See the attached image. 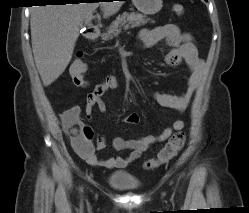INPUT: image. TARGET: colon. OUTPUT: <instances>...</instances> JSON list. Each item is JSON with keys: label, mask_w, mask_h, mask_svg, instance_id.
Here are the masks:
<instances>
[{"label": "colon", "mask_w": 249, "mask_h": 213, "mask_svg": "<svg viewBox=\"0 0 249 213\" xmlns=\"http://www.w3.org/2000/svg\"><path fill=\"white\" fill-rule=\"evenodd\" d=\"M173 11L178 14L182 15L184 13V7L181 4H174L172 7ZM87 69V64L83 60L81 54L76 55V57L72 60L70 65V74L72 81L77 86H85L86 80L84 78V73ZM74 131H72L73 133ZM77 142L76 144L79 146L81 145V139L79 136L76 137ZM185 144V134L184 132H177L175 133L166 145L162 148L160 153L158 154L157 158L151 159L146 162L145 166L147 169H154L161 164L167 163L170 161L176 154L183 148Z\"/></svg>", "instance_id": "1"}]
</instances>
